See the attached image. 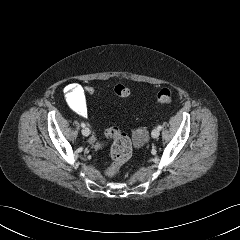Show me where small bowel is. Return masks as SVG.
Wrapping results in <instances>:
<instances>
[{
    "label": "small bowel",
    "mask_w": 240,
    "mask_h": 240,
    "mask_svg": "<svg viewBox=\"0 0 240 240\" xmlns=\"http://www.w3.org/2000/svg\"><path fill=\"white\" fill-rule=\"evenodd\" d=\"M64 94L69 107L80 116L85 117L87 115V104L84 88L76 83L69 84L64 89ZM147 139L148 132L145 128H138L133 132V142L136 147L145 144ZM90 142L96 149H101L103 147L94 137L90 139Z\"/></svg>",
    "instance_id": "small-bowel-1"
}]
</instances>
